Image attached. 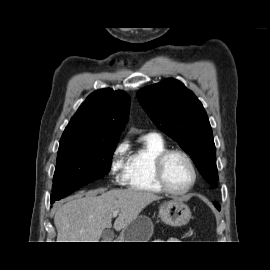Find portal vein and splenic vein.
Wrapping results in <instances>:
<instances>
[{
    "instance_id": "portal-vein-and-splenic-vein-1",
    "label": "portal vein and splenic vein",
    "mask_w": 270,
    "mask_h": 270,
    "mask_svg": "<svg viewBox=\"0 0 270 270\" xmlns=\"http://www.w3.org/2000/svg\"><path fill=\"white\" fill-rule=\"evenodd\" d=\"M119 211H114L113 212V217H116L118 215Z\"/></svg>"
}]
</instances>
